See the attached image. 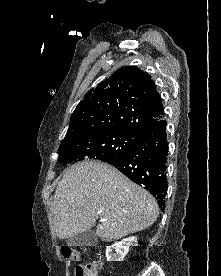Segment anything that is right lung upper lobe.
I'll return each mask as SVG.
<instances>
[{"label": "right lung upper lobe", "instance_id": "1", "mask_svg": "<svg viewBox=\"0 0 221 276\" xmlns=\"http://www.w3.org/2000/svg\"><path fill=\"white\" fill-rule=\"evenodd\" d=\"M163 114L151 77L136 66L122 67L85 94L62 142L111 132L141 137Z\"/></svg>", "mask_w": 221, "mask_h": 276}]
</instances>
